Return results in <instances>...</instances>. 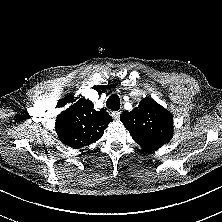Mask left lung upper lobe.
<instances>
[{"label":"left lung upper lobe","mask_w":222,"mask_h":222,"mask_svg":"<svg viewBox=\"0 0 222 222\" xmlns=\"http://www.w3.org/2000/svg\"><path fill=\"white\" fill-rule=\"evenodd\" d=\"M120 120L144 150H156L173 136L172 114L148 97L132 111H124Z\"/></svg>","instance_id":"5c2ea615"}]
</instances>
